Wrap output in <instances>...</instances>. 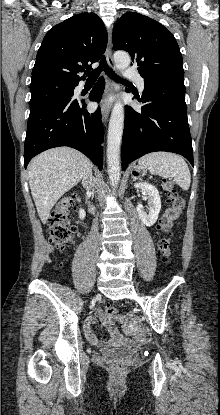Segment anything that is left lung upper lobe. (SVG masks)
<instances>
[{
  "mask_svg": "<svg viewBox=\"0 0 220 415\" xmlns=\"http://www.w3.org/2000/svg\"><path fill=\"white\" fill-rule=\"evenodd\" d=\"M114 50L127 51L143 78L184 79L182 55L176 39L162 24L128 12L113 29Z\"/></svg>",
  "mask_w": 220,
  "mask_h": 415,
  "instance_id": "obj_1",
  "label": "left lung upper lobe"
}]
</instances>
